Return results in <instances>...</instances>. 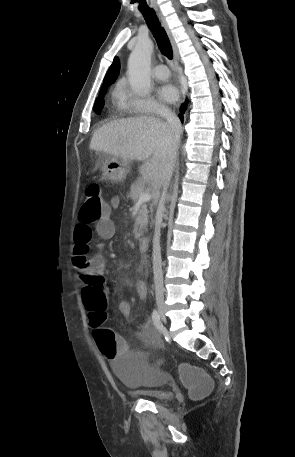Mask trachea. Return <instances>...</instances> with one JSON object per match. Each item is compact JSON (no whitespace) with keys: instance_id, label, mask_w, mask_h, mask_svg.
<instances>
[{"instance_id":"3493384b","label":"trachea","mask_w":295,"mask_h":457,"mask_svg":"<svg viewBox=\"0 0 295 457\" xmlns=\"http://www.w3.org/2000/svg\"><path fill=\"white\" fill-rule=\"evenodd\" d=\"M139 10L142 12L144 19L158 44L160 52L162 55L172 60V46L165 29L161 26V23L156 16L155 11L144 4L139 7Z\"/></svg>"}]
</instances>
